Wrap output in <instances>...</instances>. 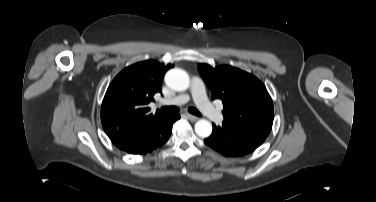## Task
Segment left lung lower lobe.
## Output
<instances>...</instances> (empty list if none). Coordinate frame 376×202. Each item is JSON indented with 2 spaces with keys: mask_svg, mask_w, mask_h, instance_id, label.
Masks as SVG:
<instances>
[{
  "mask_svg": "<svg viewBox=\"0 0 376 202\" xmlns=\"http://www.w3.org/2000/svg\"><path fill=\"white\" fill-rule=\"evenodd\" d=\"M266 138L260 133L223 121L221 126L213 124V132L204 142L225 156H243L253 152Z\"/></svg>",
  "mask_w": 376,
  "mask_h": 202,
  "instance_id": "obj_1",
  "label": "left lung lower lobe"
}]
</instances>
